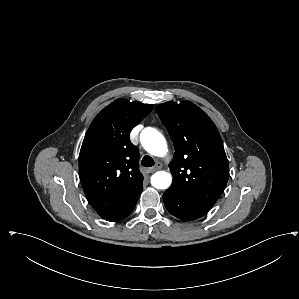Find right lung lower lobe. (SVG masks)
Segmentation results:
<instances>
[{
    "label": "right lung lower lobe",
    "instance_id": "1",
    "mask_svg": "<svg viewBox=\"0 0 299 299\" xmlns=\"http://www.w3.org/2000/svg\"><path fill=\"white\" fill-rule=\"evenodd\" d=\"M141 191H142V189L137 194H135L128 202H126L123 206H121L118 210L111 213L104 219H106L110 222H114V221L122 220V219L126 218L128 215H130L136 206V203L138 201Z\"/></svg>",
    "mask_w": 299,
    "mask_h": 299
}]
</instances>
